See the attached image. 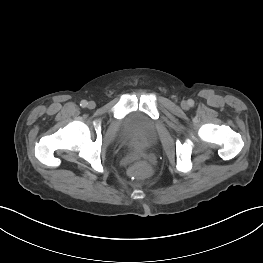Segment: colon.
Masks as SVG:
<instances>
[{
	"label": "colon",
	"mask_w": 263,
	"mask_h": 263,
	"mask_svg": "<svg viewBox=\"0 0 263 263\" xmlns=\"http://www.w3.org/2000/svg\"><path fill=\"white\" fill-rule=\"evenodd\" d=\"M151 172V168L149 164L146 162L140 161L135 163L131 168H130V173L132 176L138 177V178H144L149 176Z\"/></svg>",
	"instance_id": "1"
}]
</instances>
